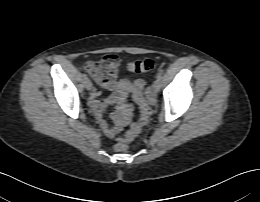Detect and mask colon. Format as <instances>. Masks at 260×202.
I'll return each mask as SVG.
<instances>
[{"instance_id":"colon-1","label":"colon","mask_w":260,"mask_h":202,"mask_svg":"<svg viewBox=\"0 0 260 202\" xmlns=\"http://www.w3.org/2000/svg\"><path fill=\"white\" fill-rule=\"evenodd\" d=\"M154 67V62L151 59L138 60L129 65V70L134 73H143L151 70ZM119 69L118 58L114 55H107L99 61H89L85 64L86 72L93 77L99 84H104L113 81ZM145 82L137 81L133 87V99L140 107L141 117L139 121L132 124L123 138L114 144V149L117 152H126L128 143L131 142L141 131L142 127L149 121L152 108L149 101L144 96Z\"/></svg>"}]
</instances>
